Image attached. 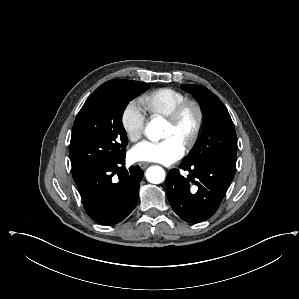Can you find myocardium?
Instances as JSON below:
<instances>
[{
	"instance_id": "1",
	"label": "myocardium",
	"mask_w": 299,
	"mask_h": 299,
	"mask_svg": "<svg viewBox=\"0 0 299 299\" xmlns=\"http://www.w3.org/2000/svg\"><path fill=\"white\" fill-rule=\"evenodd\" d=\"M189 110H193L195 112L196 123L191 137L184 143V147L186 149H191L200 138L204 123V113L201 105L196 100L185 99L178 104L172 113L167 117V121L171 125L177 126L180 124L183 117Z\"/></svg>"
}]
</instances>
